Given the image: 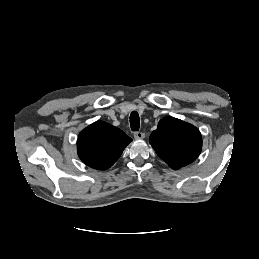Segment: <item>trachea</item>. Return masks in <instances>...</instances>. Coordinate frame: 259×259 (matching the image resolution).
I'll use <instances>...</instances> for the list:
<instances>
[{
    "instance_id": "3493384b",
    "label": "trachea",
    "mask_w": 259,
    "mask_h": 259,
    "mask_svg": "<svg viewBox=\"0 0 259 259\" xmlns=\"http://www.w3.org/2000/svg\"><path fill=\"white\" fill-rule=\"evenodd\" d=\"M130 127L132 131H138L140 127L139 115L136 111L130 114Z\"/></svg>"
}]
</instances>
